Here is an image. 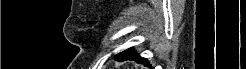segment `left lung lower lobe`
<instances>
[{
	"label": "left lung lower lobe",
	"mask_w": 246,
	"mask_h": 69,
	"mask_svg": "<svg viewBox=\"0 0 246 69\" xmlns=\"http://www.w3.org/2000/svg\"><path fill=\"white\" fill-rule=\"evenodd\" d=\"M117 61L134 60L139 64H144L145 66H150L146 58H142L139 54L135 53L133 48H129L115 56Z\"/></svg>",
	"instance_id": "0a47b994"
}]
</instances>
